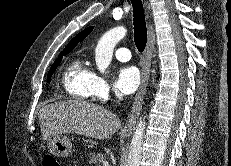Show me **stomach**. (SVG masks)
I'll list each match as a JSON object with an SVG mask.
<instances>
[{
	"mask_svg": "<svg viewBox=\"0 0 231 166\" xmlns=\"http://www.w3.org/2000/svg\"><path fill=\"white\" fill-rule=\"evenodd\" d=\"M49 151L61 158L68 157L72 154V144L66 136H52L48 139Z\"/></svg>",
	"mask_w": 231,
	"mask_h": 166,
	"instance_id": "stomach-1",
	"label": "stomach"
}]
</instances>
